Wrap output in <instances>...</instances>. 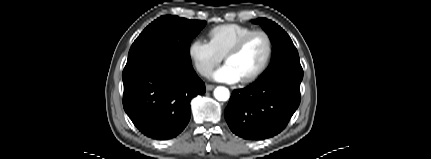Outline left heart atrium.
I'll return each mask as SVG.
<instances>
[{"instance_id": "obj_1", "label": "left heart atrium", "mask_w": 431, "mask_h": 159, "mask_svg": "<svg viewBox=\"0 0 431 159\" xmlns=\"http://www.w3.org/2000/svg\"><path fill=\"white\" fill-rule=\"evenodd\" d=\"M212 77L218 82H224L229 84L237 83L241 80L238 74L234 71V69L227 63L218 68L213 73Z\"/></svg>"}]
</instances>
